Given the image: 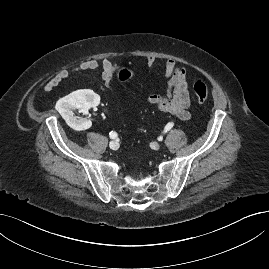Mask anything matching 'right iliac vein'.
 <instances>
[{
	"label": "right iliac vein",
	"mask_w": 269,
	"mask_h": 269,
	"mask_svg": "<svg viewBox=\"0 0 269 269\" xmlns=\"http://www.w3.org/2000/svg\"><path fill=\"white\" fill-rule=\"evenodd\" d=\"M109 147H110V149H112V150H117V149L119 148V144H118V142H116V141H111V142L109 143Z\"/></svg>",
	"instance_id": "1"
}]
</instances>
